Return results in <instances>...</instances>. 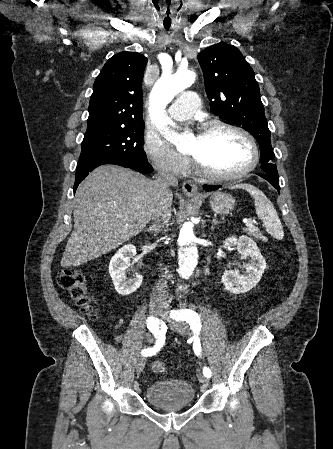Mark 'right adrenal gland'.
I'll return each mask as SVG.
<instances>
[{
  "label": "right adrenal gland",
  "mask_w": 333,
  "mask_h": 449,
  "mask_svg": "<svg viewBox=\"0 0 333 449\" xmlns=\"http://www.w3.org/2000/svg\"><path fill=\"white\" fill-rule=\"evenodd\" d=\"M148 232H154L157 233L160 230V226H157L156 224H152L151 226H149V228L146 229Z\"/></svg>",
  "instance_id": "right-adrenal-gland-1"
}]
</instances>
